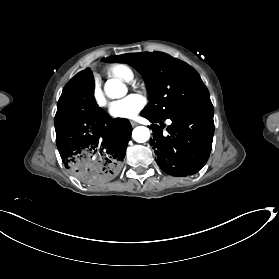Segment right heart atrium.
I'll list each match as a JSON object with an SVG mask.
<instances>
[{"label": "right heart atrium", "mask_w": 279, "mask_h": 279, "mask_svg": "<svg viewBox=\"0 0 279 279\" xmlns=\"http://www.w3.org/2000/svg\"><path fill=\"white\" fill-rule=\"evenodd\" d=\"M93 98H94L95 102L100 107L105 105L103 93H102L101 88H100V86L98 84L94 85V88H93Z\"/></svg>", "instance_id": "obj_1"}]
</instances>
